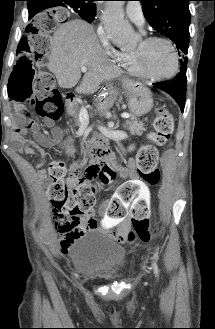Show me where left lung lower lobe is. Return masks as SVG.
I'll list each match as a JSON object with an SVG mask.
<instances>
[{"label": "left lung lower lobe", "instance_id": "left-lung-lower-lobe-1", "mask_svg": "<svg viewBox=\"0 0 215 329\" xmlns=\"http://www.w3.org/2000/svg\"><path fill=\"white\" fill-rule=\"evenodd\" d=\"M186 69L187 64H183L181 65L180 72L175 78L167 82H158L153 84L154 86L170 94L178 103L182 112L185 105V90L187 83Z\"/></svg>", "mask_w": 215, "mask_h": 329}]
</instances>
